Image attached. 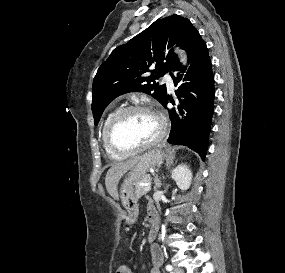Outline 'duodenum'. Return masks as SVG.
<instances>
[{
	"label": "duodenum",
	"mask_w": 285,
	"mask_h": 273,
	"mask_svg": "<svg viewBox=\"0 0 285 273\" xmlns=\"http://www.w3.org/2000/svg\"><path fill=\"white\" fill-rule=\"evenodd\" d=\"M148 219H149V224H150L149 239L153 240L159 231V217H158V213L156 209L151 210L148 213Z\"/></svg>",
	"instance_id": "410a0bca"
}]
</instances>
